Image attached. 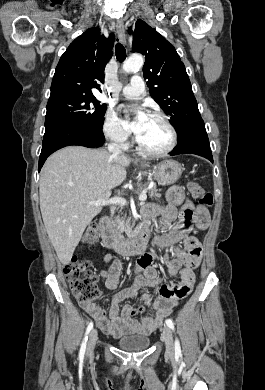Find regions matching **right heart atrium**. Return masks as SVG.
I'll list each match as a JSON object with an SVG mask.
<instances>
[{
	"label": "right heart atrium",
	"instance_id": "right-heart-atrium-1",
	"mask_svg": "<svg viewBox=\"0 0 265 390\" xmlns=\"http://www.w3.org/2000/svg\"><path fill=\"white\" fill-rule=\"evenodd\" d=\"M103 132L110 142L122 149L127 148L130 144L129 131L124 127L116 113L111 109L107 110L105 113Z\"/></svg>",
	"mask_w": 265,
	"mask_h": 390
}]
</instances>
